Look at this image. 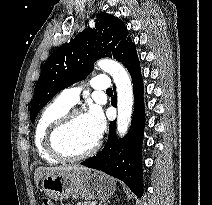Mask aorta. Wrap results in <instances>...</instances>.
<instances>
[{"mask_svg": "<svg viewBox=\"0 0 212 205\" xmlns=\"http://www.w3.org/2000/svg\"><path fill=\"white\" fill-rule=\"evenodd\" d=\"M97 66L111 75L117 90V133L120 137L128 131L133 109V86L131 78L125 68L111 59H101Z\"/></svg>", "mask_w": 212, "mask_h": 205, "instance_id": "obj_1", "label": "aorta"}]
</instances>
